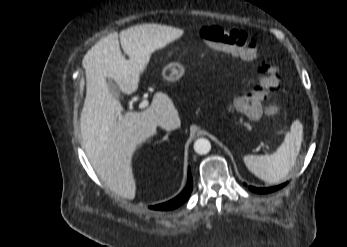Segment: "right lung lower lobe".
<instances>
[{
  "instance_id": "right-lung-lower-lobe-1",
  "label": "right lung lower lobe",
  "mask_w": 347,
  "mask_h": 247,
  "mask_svg": "<svg viewBox=\"0 0 347 247\" xmlns=\"http://www.w3.org/2000/svg\"><path fill=\"white\" fill-rule=\"evenodd\" d=\"M192 187H193L192 176H191V172H190V168H189V170H188V183H187L186 187L184 188V190L174 199H172L168 202L162 203V204L151 206L150 208L155 209V210H171V209L177 208L178 206L183 204L188 199V197L191 194Z\"/></svg>"
}]
</instances>
